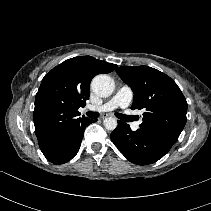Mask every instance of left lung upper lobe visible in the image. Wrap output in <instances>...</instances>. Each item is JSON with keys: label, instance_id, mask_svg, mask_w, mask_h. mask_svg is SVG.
<instances>
[{"label": "left lung upper lobe", "instance_id": "1", "mask_svg": "<svg viewBox=\"0 0 211 211\" xmlns=\"http://www.w3.org/2000/svg\"><path fill=\"white\" fill-rule=\"evenodd\" d=\"M134 93L132 109L143 110L140 130L170 150L187 121V102L181 90L166 74L148 66L116 69Z\"/></svg>", "mask_w": 211, "mask_h": 211}]
</instances>
